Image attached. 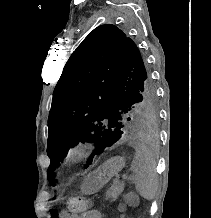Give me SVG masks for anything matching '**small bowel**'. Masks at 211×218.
<instances>
[{"label": "small bowel", "instance_id": "small-bowel-1", "mask_svg": "<svg viewBox=\"0 0 211 218\" xmlns=\"http://www.w3.org/2000/svg\"><path fill=\"white\" fill-rule=\"evenodd\" d=\"M121 212H123V208L119 209ZM79 218H103L101 212H99L96 209H89L82 213V215ZM120 218H124L123 215H121Z\"/></svg>", "mask_w": 211, "mask_h": 218}]
</instances>
